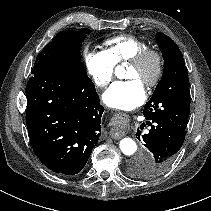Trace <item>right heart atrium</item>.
Here are the masks:
<instances>
[{"mask_svg": "<svg viewBox=\"0 0 211 211\" xmlns=\"http://www.w3.org/2000/svg\"><path fill=\"white\" fill-rule=\"evenodd\" d=\"M84 61L88 74L97 87L104 88L112 81L115 64L104 51L87 50Z\"/></svg>", "mask_w": 211, "mask_h": 211, "instance_id": "obj_1", "label": "right heart atrium"}]
</instances>
